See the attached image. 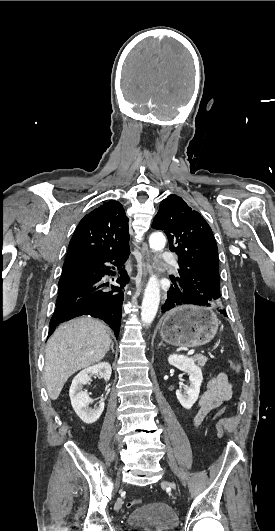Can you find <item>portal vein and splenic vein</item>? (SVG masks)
Here are the masks:
<instances>
[{
  "label": "portal vein and splenic vein",
  "instance_id": "18ae733b",
  "mask_svg": "<svg viewBox=\"0 0 275 531\" xmlns=\"http://www.w3.org/2000/svg\"><path fill=\"white\" fill-rule=\"evenodd\" d=\"M189 356L195 355V352L193 350H188Z\"/></svg>",
  "mask_w": 275,
  "mask_h": 531
}]
</instances>
